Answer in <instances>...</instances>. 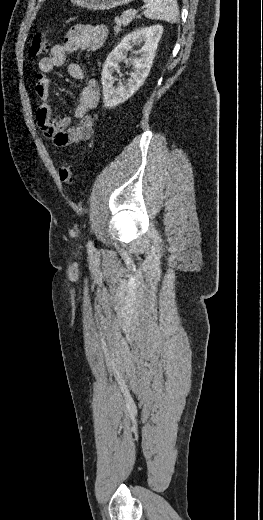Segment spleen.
<instances>
[{"mask_svg":"<svg viewBox=\"0 0 263 520\" xmlns=\"http://www.w3.org/2000/svg\"><path fill=\"white\" fill-rule=\"evenodd\" d=\"M147 4L144 11L146 18L154 20H164L168 23H175L178 18L177 0H143Z\"/></svg>","mask_w":263,"mask_h":520,"instance_id":"spleen-1","label":"spleen"}]
</instances>
